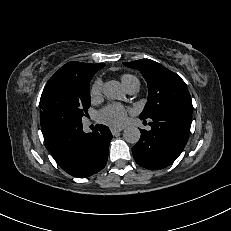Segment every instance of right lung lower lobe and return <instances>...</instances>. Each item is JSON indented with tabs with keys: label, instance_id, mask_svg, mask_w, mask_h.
<instances>
[{
	"label": "right lung lower lobe",
	"instance_id": "obj_1",
	"mask_svg": "<svg viewBox=\"0 0 231 231\" xmlns=\"http://www.w3.org/2000/svg\"><path fill=\"white\" fill-rule=\"evenodd\" d=\"M111 139L107 126L96 125L92 133H85L79 123L46 137L45 143L64 171L77 178H86L105 167Z\"/></svg>",
	"mask_w": 231,
	"mask_h": 231
}]
</instances>
